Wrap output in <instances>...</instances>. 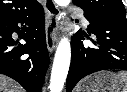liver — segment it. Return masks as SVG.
<instances>
[{
    "mask_svg": "<svg viewBox=\"0 0 127 92\" xmlns=\"http://www.w3.org/2000/svg\"><path fill=\"white\" fill-rule=\"evenodd\" d=\"M0 92H25L13 79L0 74Z\"/></svg>",
    "mask_w": 127,
    "mask_h": 92,
    "instance_id": "liver-1",
    "label": "liver"
}]
</instances>
